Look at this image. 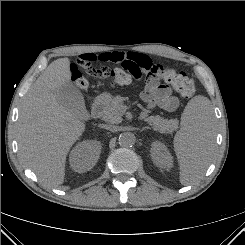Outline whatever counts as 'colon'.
Wrapping results in <instances>:
<instances>
[{"label":"colon","mask_w":245,"mask_h":245,"mask_svg":"<svg viewBox=\"0 0 245 245\" xmlns=\"http://www.w3.org/2000/svg\"><path fill=\"white\" fill-rule=\"evenodd\" d=\"M97 61V56L93 53H84L78 57L77 65L72 68L71 72L72 79L79 88H88V81L80 72L79 67L93 77L109 78L114 86L126 85L131 78L140 74V69L131 59L123 60L120 66L114 68L96 64ZM146 76L152 81H164L186 98L195 93L194 81L183 72L175 70L171 64H154L147 70Z\"/></svg>","instance_id":"5ec220e1"}]
</instances>
